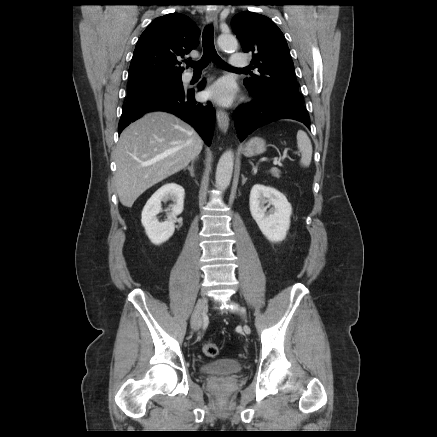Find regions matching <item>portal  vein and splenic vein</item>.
Returning a JSON list of instances; mask_svg holds the SVG:
<instances>
[{"label": "portal vein and splenic vein", "mask_w": 437, "mask_h": 437, "mask_svg": "<svg viewBox=\"0 0 437 437\" xmlns=\"http://www.w3.org/2000/svg\"><path fill=\"white\" fill-rule=\"evenodd\" d=\"M273 164L275 165V166H282V164H281V162L280 161H277V160H274V162H273Z\"/></svg>", "instance_id": "1"}]
</instances>
